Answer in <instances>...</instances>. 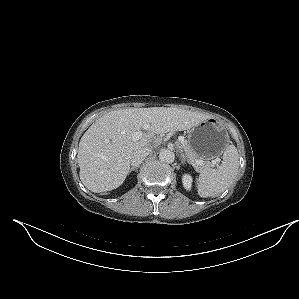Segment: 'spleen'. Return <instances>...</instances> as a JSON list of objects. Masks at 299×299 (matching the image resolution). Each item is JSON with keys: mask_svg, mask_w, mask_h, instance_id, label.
<instances>
[{"mask_svg": "<svg viewBox=\"0 0 299 299\" xmlns=\"http://www.w3.org/2000/svg\"><path fill=\"white\" fill-rule=\"evenodd\" d=\"M239 168V156L236 147L228 145L223 154L222 163L215 169L205 167L197 178V190L200 197H215L225 191L234 181Z\"/></svg>", "mask_w": 299, "mask_h": 299, "instance_id": "obj_1", "label": "spleen"}]
</instances>
